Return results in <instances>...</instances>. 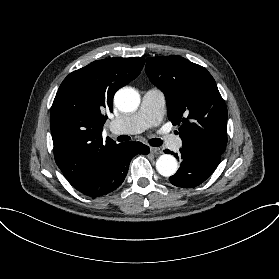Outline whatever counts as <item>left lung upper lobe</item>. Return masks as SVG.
<instances>
[{
  "mask_svg": "<svg viewBox=\"0 0 279 279\" xmlns=\"http://www.w3.org/2000/svg\"><path fill=\"white\" fill-rule=\"evenodd\" d=\"M145 71L164 92L168 118L179 125L183 147L222 155L227 145L228 113L212 75L181 56L147 58Z\"/></svg>",
  "mask_w": 279,
  "mask_h": 279,
  "instance_id": "1",
  "label": "left lung upper lobe"
}]
</instances>
